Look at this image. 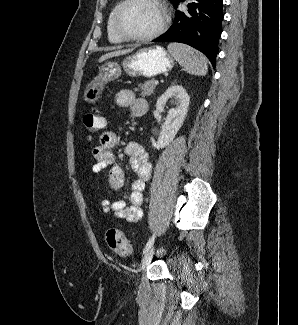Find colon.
Here are the masks:
<instances>
[{"label":"colon","instance_id":"5ec220e1","mask_svg":"<svg viewBox=\"0 0 298 325\" xmlns=\"http://www.w3.org/2000/svg\"><path fill=\"white\" fill-rule=\"evenodd\" d=\"M83 124L86 131L93 135L105 126V119L100 111L96 108L86 113L83 117ZM105 241L108 247L119 256H128L131 254V245L125 234L115 228H110L106 231Z\"/></svg>","mask_w":298,"mask_h":325}]
</instances>
